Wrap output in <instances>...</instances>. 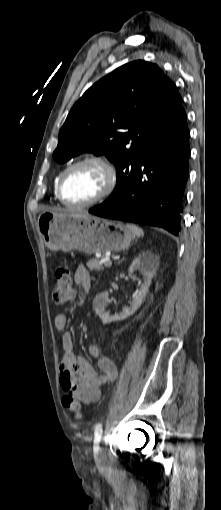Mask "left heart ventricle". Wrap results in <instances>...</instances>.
I'll return each mask as SVG.
<instances>
[{
	"instance_id": "1",
	"label": "left heart ventricle",
	"mask_w": 221,
	"mask_h": 510,
	"mask_svg": "<svg viewBox=\"0 0 221 510\" xmlns=\"http://www.w3.org/2000/svg\"><path fill=\"white\" fill-rule=\"evenodd\" d=\"M105 183L104 171L94 164L73 169L63 185L64 197L72 203H81L95 197Z\"/></svg>"
}]
</instances>
